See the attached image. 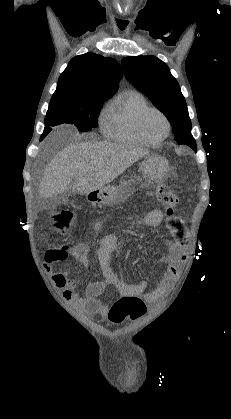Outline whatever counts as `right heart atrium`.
<instances>
[{"instance_id": "right-heart-atrium-1", "label": "right heart atrium", "mask_w": 231, "mask_h": 419, "mask_svg": "<svg viewBox=\"0 0 231 419\" xmlns=\"http://www.w3.org/2000/svg\"><path fill=\"white\" fill-rule=\"evenodd\" d=\"M108 109L109 108H104L100 114L99 117V125L101 127L102 130H104L105 125L107 123V119H108Z\"/></svg>"}]
</instances>
